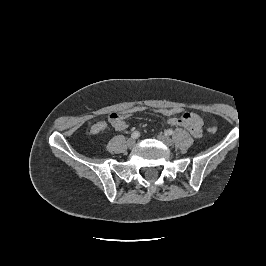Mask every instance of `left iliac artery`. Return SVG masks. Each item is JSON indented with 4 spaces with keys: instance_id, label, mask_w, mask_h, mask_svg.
Instances as JSON below:
<instances>
[{
    "instance_id": "1",
    "label": "left iliac artery",
    "mask_w": 266,
    "mask_h": 266,
    "mask_svg": "<svg viewBox=\"0 0 266 266\" xmlns=\"http://www.w3.org/2000/svg\"><path fill=\"white\" fill-rule=\"evenodd\" d=\"M166 134H167V135H172V134H173V130L168 129V130L166 131Z\"/></svg>"
}]
</instances>
